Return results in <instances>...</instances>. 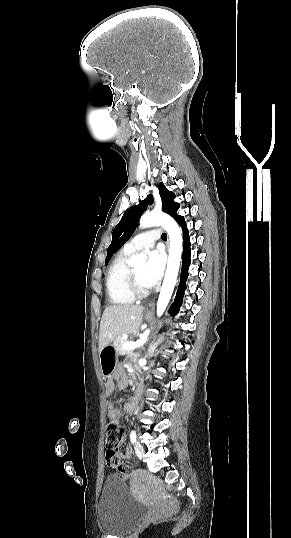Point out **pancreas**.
I'll use <instances>...</instances> for the list:
<instances>
[{"label": "pancreas", "instance_id": "pancreas-1", "mask_svg": "<svg viewBox=\"0 0 291 538\" xmlns=\"http://www.w3.org/2000/svg\"><path fill=\"white\" fill-rule=\"evenodd\" d=\"M127 341H128L127 339H125L123 337H120L114 342L113 346L115 347L118 354H120V355H129L130 354L129 350L123 349V344L125 342H127Z\"/></svg>", "mask_w": 291, "mask_h": 538}]
</instances>
